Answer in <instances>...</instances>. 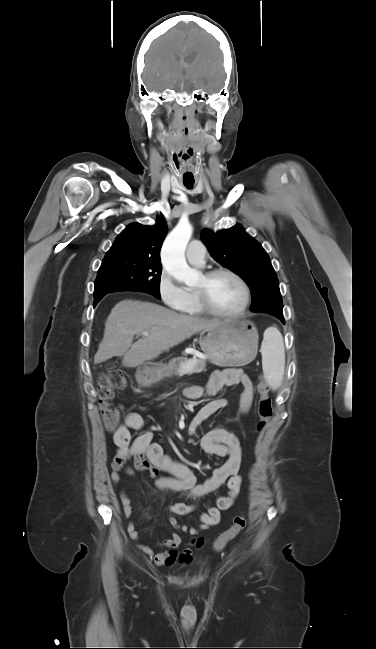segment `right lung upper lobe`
I'll use <instances>...</instances> for the list:
<instances>
[{"mask_svg":"<svg viewBox=\"0 0 376 649\" xmlns=\"http://www.w3.org/2000/svg\"><path fill=\"white\" fill-rule=\"evenodd\" d=\"M166 234V222L160 218L154 226L132 223L118 235L106 255L131 254L160 261V249Z\"/></svg>","mask_w":376,"mask_h":649,"instance_id":"right-lung-upper-lobe-1","label":"right lung upper lobe"}]
</instances>
